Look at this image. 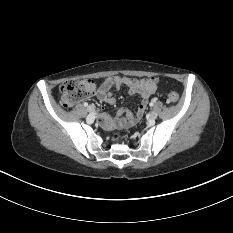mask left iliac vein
Wrapping results in <instances>:
<instances>
[{"label": "left iliac vein", "instance_id": "4c4485c4", "mask_svg": "<svg viewBox=\"0 0 233 233\" xmlns=\"http://www.w3.org/2000/svg\"><path fill=\"white\" fill-rule=\"evenodd\" d=\"M157 116H158V114H157L156 111H151V112L149 113V118H150L151 120H155V119L157 118Z\"/></svg>", "mask_w": 233, "mask_h": 233}]
</instances>
